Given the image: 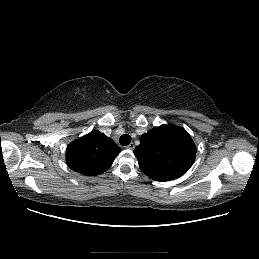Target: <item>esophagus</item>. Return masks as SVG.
<instances>
[{"mask_svg":"<svg viewBox=\"0 0 259 259\" xmlns=\"http://www.w3.org/2000/svg\"><path fill=\"white\" fill-rule=\"evenodd\" d=\"M126 148L129 150H133L135 148V145L134 143H130Z\"/></svg>","mask_w":259,"mask_h":259,"instance_id":"1","label":"esophagus"}]
</instances>
